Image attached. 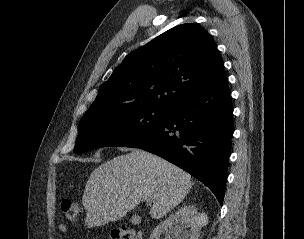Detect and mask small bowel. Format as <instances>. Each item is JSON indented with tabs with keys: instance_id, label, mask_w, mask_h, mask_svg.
<instances>
[{
	"instance_id": "small-bowel-1",
	"label": "small bowel",
	"mask_w": 304,
	"mask_h": 239,
	"mask_svg": "<svg viewBox=\"0 0 304 239\" xmlns=\"http://www.w3.org/2000/svg\"><path fill=\"white\" fill-rule=\"evenodd\" d=\"M58 230L60 233L65 234L67 232V226L65 224H59Z\"/></svg>"
}]
</instances>
